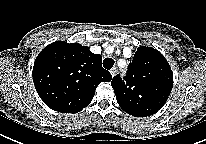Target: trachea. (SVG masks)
Here are the masks:
<instances>
[{"label":"trachea","instance_id":"1","mask_svg":"<svg viewBox=\"0 0 206 144\" xmlns=\"http://www.w3.org/2000/svg\"><path fill=\"white\" fill-rule=\"evenodd\" d=\"M114 65V60L112 58H105L103 61V67L110 70Z\"/></svg>","mask_w":206,"mask_h":144}]
</instances>
